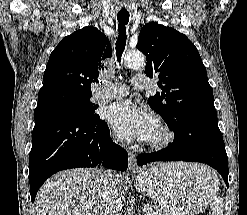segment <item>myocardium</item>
<instances>
[{
  "label": "myocardium",
  "mask_w": 247,
  "mask_h": 215,
  "mask_svg": "<svg viewBox=\"0 0 247 215\" xmlns=\"http://www.w3.org/2000/svg\"><path fill=\"white\" fill-rule=\"evenodd\" d=\"M173 137V132L169 126L164 123H159L157 135L148 140L147 146L152 150H162L171 144Z\"/></svg>",
  "instance_id": "f54148a6"
}]
</instances>
